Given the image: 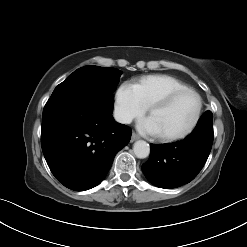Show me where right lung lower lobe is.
Here are the masks:
<instances>
[{"mask_svg":"<svg viewBox=\"0 0 247 247\" xmlns=\"http://www.w3.org/2000/svg\"><path fill=\"white\" fill-rule=\"evenodd\" d=\"M104 97L70 95L49 99L43 110L41 146L56 179L69 189L98 185L113 159L131 138V129L114 121Z\"/></svg>","mask_w":247,"mask_h":247,"instance_id":"1","label":"right lung lower lobe"}]
</instances>
